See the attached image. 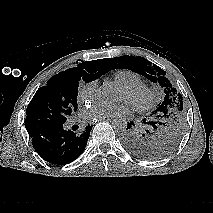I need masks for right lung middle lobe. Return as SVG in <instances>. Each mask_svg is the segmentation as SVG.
Instances as JSON below:
<instances>
[{"instance_id": "dd1d6c3e", "label": "right lung middle lobe", "mask_w": 213, "mask_h": 213, "mask_svg": "<svg viewBox=\"0 0 213 213\" xmlns=\"http://www.w3.org/2000/svg\"><path fill=\"white\" fill-rule=\"evenodd\" d=\"M100 77L84 67L67 69L40 87L26 109L25 125L31 137L56 124H64L77 110L79 81L91 82Z\"/></svg>"}]
</instances>
